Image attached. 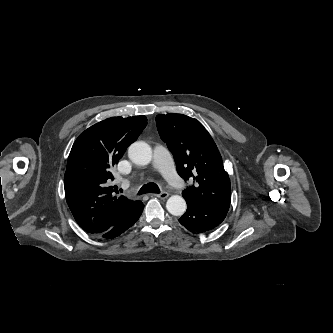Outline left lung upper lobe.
<instances>
[{"label": "left lung upper lobe", "mask_w": 333, "mask_h": 333, "mask_svg": "<svg viewBox=\"0 0 333 333\" xmlns=\"http://www.w3.org/2000/svg\"><path fill=\"white\" fill-rule=\"evenodd\" d=\"M161 139L172 152L178 174L193 185L182 192L197 204L228 212L231 184L220 152L203 125L183 114L156 117Z\"/></svg>", "instance_id": "obj_1"}]
</instances>
